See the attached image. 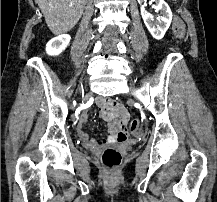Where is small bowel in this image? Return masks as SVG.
<instances>
[{
	"mask_svg": "<svg viewBox=\"0 0 217 202\" xmlns=\"http://www.w3.org/2000/svg\"><path fill=\"white\" fill-rule=\"evenodd\" d=\"M97 109H100V117L105 121H109L110 135L103 140L104 144L122 145L128 139L127 124L129 121V113L119 101H96ZM117 113H121L117 116ZM85 118V115L83 116ZM76 134L81 139L84 146L97 150L100 143L96 139H90L88 134L83 130L82 122H79L76 128Z\"/></svg>",
	"mask_w": 217,
	"mask_h": 202,
	"instance_id": "obj_1",
	"label": "small bowel"
}]
</instances>
